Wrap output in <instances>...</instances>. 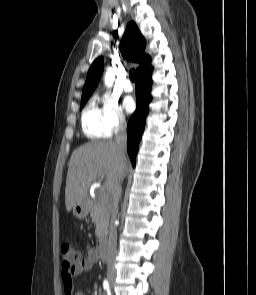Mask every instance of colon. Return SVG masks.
<instances>
[{
	"instance_id": "1",
	"label": "colon",
	"mask_w": 256,
	"mask_h": 295,
	"mask_svg": "<svg viewBox=\"0 0 256 295\" xmlns=\"http://www.w3.org/2000/svg\"><path fill=\"white\" fill-rule=\"evenodd\" d=\"M80 254L69 244L61 246V265L65 270H72L80 261Z\"/></svg>"
}]
</instances>
